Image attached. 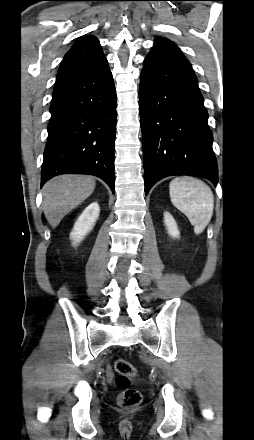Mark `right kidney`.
<instances>
[{"mask_svg":"<svg viewBox=\"0 0 254 440\" xmlns=\"http://www.w3.org/2000/svg\"><path fill=\"white\" fill-rule=\"evenodd\" d=\"M100 208L97 202L91 203L85 208L83 213L79 216L74 224L73 230L70 234V238L73 240V244L79 243L84 236L90 232L99 216Z\"/></svg>","mask_w":254,"mask_h":440,"instance_id":"1","label":"right kidney"}]
</instances>
